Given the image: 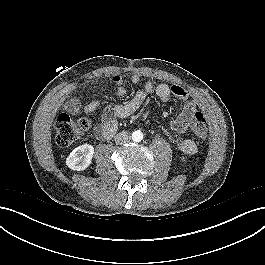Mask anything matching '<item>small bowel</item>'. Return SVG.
Returning a JSON list of instances; mask_svg holds the SVG:
<instances>
[{"label": "small bowel", "instance_id": "1", "mask_svg": "<svg viewBox=\"0 0 265 265\" xmlns=\"http://www.w3.org/2000/svg\"><path fill=\"white\" fill-rule=\"evenodd\" d=\"M112 82L116 85L117 93L123 96L126 93V88L123 84V79L119 75L112 77ZM141 76L133 74L131 82L135 85L141 83ZM72 90H68L67 94H71ZM155 93L161 101H168L171 96L179 100L185 101L180 114L171 121V128L176 133L174 143L178 150L187 155H193L197 152L196 143L184 136L193 116L198 112V102L196 100H188L189 94L187 90L180 85H168L160 83L155 85L151 80H147L142 88L138 90L134 96L128 101L116 105L106 110L101 118V122L95 127V134L99 138L109 139L117 130L118 120L126 118L136 112L147 100V98ZM100 106L98 100L91 101L83 107V112L92 113ZM66 110L72 115H77L81 111V102L77 97H70L65 103Z\"/></svg>", "mask_w": 265, "mask_h": 265}]
</instances>
